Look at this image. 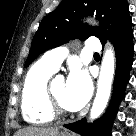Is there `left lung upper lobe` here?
I'll use <instances>...</instances> for the list:
<instances>
[{"label":"left lung upper lobe","mask_w":136,"mask_h":136,"mask_svg":"<svg viewBox=\"0 0 136 136\" xmlns=\"http://www.w3.org/2000/svg\"><path fill=\"white\" fill-rule=\"evenodd\" d=\"M88 15H95L102 27H92L80 21V18ZM128 15L126 0H63L41 21L25 67L41 53L70 39L85 40L89 36H96L101 42L105 41Z\"/></svg>","instance_id":"left-lung-upper-lobe-1"}]
</instances>
